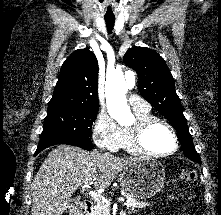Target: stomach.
I'll return each mask as SVG.
<instances>
[{
	"instance_id": "stomach-1",
	"label": "stomach",
	"mask_w": 221,
	"mask_h": 215,
	"mask_svg": "<svg viewBox=\"0 0 221 215\" xmlns=\"http://www.w3.org/2000/svg\"><path fill=\"white\" fill-rule=\"evenodd\" d=\"M166 179L163 165L155 160H139L124 168L120 185L129 196L147 199L162 190Z\"/></svg>"
}]
</instances>
